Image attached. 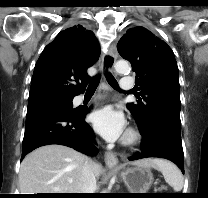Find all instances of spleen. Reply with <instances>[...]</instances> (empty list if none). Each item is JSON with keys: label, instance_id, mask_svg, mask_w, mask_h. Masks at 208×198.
Returning <instances> with one entry per match:
<instances>
[{"label": "spleen", "instance_id": "3e777b00", "mask_svg": "<svg viewBox=\"0 0 208 198\" xmlns=\"http://www.w3.org/2000/svg\"><path fill=\"white\" fill-rule=\"evenodd\" d=\"M158 169L161 171L166 183L173 187L174 191L183 188V176L181 171L173 163L165 160H156Z\"/></svg>", "mask_w": 208, "mask_h": 198}]
</instances>
